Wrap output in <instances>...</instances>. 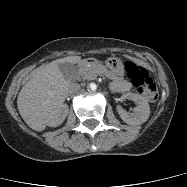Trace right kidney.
<instances>
[{"label":"right kidney","mask_w":187,"mask_h":187,"mask_svg":"<svg viewBox=\"0 0 187 187\" xmlns=\"http://www.w3.org/2000/svg\"><path fill=\"white\" fill-rule=\"evenodd\" d=\"M68 114V108L65 105H61L57 110L56 114L50 119L48 125L51 127H56L60 125L66 118Z\"/></svg>","instance_id":"obj_1"}]
</instances>
